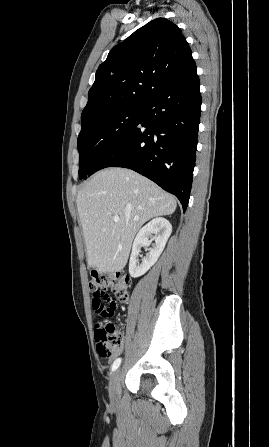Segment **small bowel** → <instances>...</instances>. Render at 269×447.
Instances as JSON below:
<instances>
[{"label":"small bowel","instance_id":"small-bowel-1","mask_svg":"<svg viewBox=\"0 0 269 447\" xmlns=\"http://www.w3.org/2000/svg\"><path fill=\"white\" fill-rule=\"evenodd\" d=\"M120 353H121V348L118 351H116L115 353H113L110 360L113 359L114 357L118 356Z\"/></svg>","mask_w":269,"mask_h":447}]
</instances>
